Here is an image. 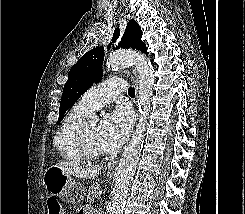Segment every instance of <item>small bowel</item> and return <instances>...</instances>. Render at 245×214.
Segmentation results:
<instances>
[{
	"label": "small bowel",
	"mask_w": 245,
	"mask_h": 214,
	"mask_svg": "<svg viewBox=\"0 0 245 214\" xmlns=\"http://www.w3.org/2000/svg\"><path fill=\"white\" fill-rule=\"evenodd\" d=\"M78 214H96L93 208L89 205L81 207L78 211Z\"/></svg>",
	"instance_id": "c3829d8e"
}]
</instances>
